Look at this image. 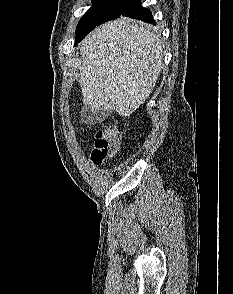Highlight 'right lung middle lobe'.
<instances>
[{
	"label": "right lung middle lobe",
	"mask_w": 233,
	"mask_h": 294,
	"mask_svg": "<svg viewBox=\"0 0 233 294\" xmlns=\"http://www.w3.org/2000/svg\"><path fill=\"white\" fill-rule=\"evenodd\" d=\"M132 0H92V7L77 25L76 38L96 26L121 16Z\"/></svg>",
	"instance_id": "1"
}]
</instances>
